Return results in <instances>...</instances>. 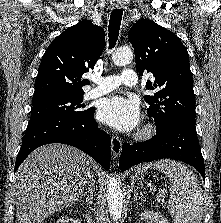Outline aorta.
Segmentation results:
<instances>
[{
  "label": "aorta",
  "mask_w": 221,
  "mask_h": 223,
  "mask_svg": "<svg viewBox=\"0 0 221 223\" xmlns=\"http://www.w3.org/2000/svg\"><path fill=\"white\" fill-rule=\"evenodd\" d=\"M132 60L133 52L130 49H117L112 55V61L118 66L129 64ZM107 204L111 217L117 221L122 213L123 192L115 175L110 177L107 184Z\"/></svg>",
  "instance_id": "aorta-1"
}]
</instances>
